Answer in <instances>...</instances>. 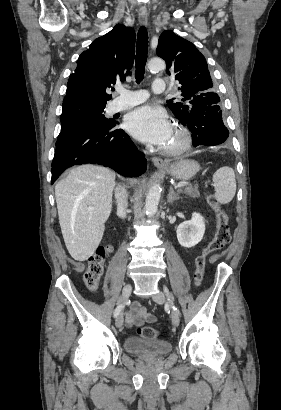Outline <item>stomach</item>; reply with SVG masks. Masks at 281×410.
Masks as SVG:
<instances>
[{
  "label": "stomach",
  "instance_id": "1",
  "mask_svg": "<svg viewBox=\"0 0 281 410\" xmlns=\"http://www.w3.org/2000/svg\"><path fill=\"white\" fill-rule=\"evenodd\" d=\"M163 170L176 179L189 180L200 170V165L194 160L180 159L175 162L168 163Z\"/></svg>",
  "mask_w": 281,
  "mask_h": 410
}]
</instances>
